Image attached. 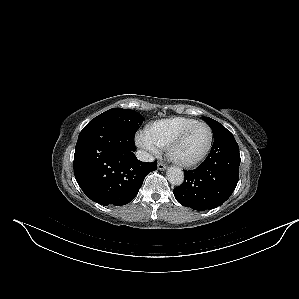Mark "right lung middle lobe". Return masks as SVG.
Listing matches in <instances>:
<instances>
[{
	"instance_id": "dd1d6c3e",
	"label": "right lung middle lobe",
	"mask_w": 299,
	"mask_h": 299,
	"mask_svg": "<svg viewBox=\"0 0 299 299\" xmlns=\"http://www.w3.org/2000/svg\"><path fill=\"white\" fill-rule=\"evenodd\" d=\"M94 119H105L113 121L131 134L135 135L139 125L144 121V117L138 112L130 109L113 108L103 112Z\"/></svg>"
}]
</instances>
